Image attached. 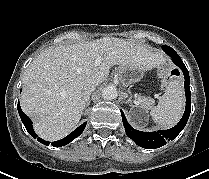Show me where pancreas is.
I'll list each match as a JSON object with an SVG mask.
<instances>
[{"label":"pancreas","mask_w":209,"mask_h":179,"mask_svg":"<svg viewBox=\"0 0 209 179\" xmlns=\"http://www.w3.org/2000/svg\"><path fill=\"white\" fill-rule=\"evenodd\" d=\"M137 100L146 106L149 105V103L152 101L150 98L144 96H138Z\"/></svg>","instance_id":"pancreas-1"}]
</instances>
